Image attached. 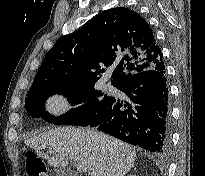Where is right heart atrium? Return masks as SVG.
Instances as JSON below:
<instances>
[{"instance_id":"d8ad5b80","label":"right heart atrium","mask_w":205,"mask_h":176,"mask_svg":"<svg viewBox=\"0 0 205 176\" xmlns=\"http://www.w3.org/2000/svg\"><path fill=\"white\" fill-rule=\"evenodd\" d=\"M46 108L55 115H62L69 108V100L60 93L53 94L47 99Z\"/></svg>"}]
</instances>
